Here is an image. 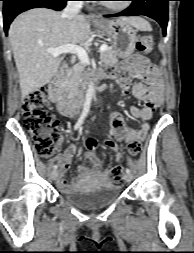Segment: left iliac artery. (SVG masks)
<instances>
[{"mask_svg":"<svg viewBox=\"0 0 194 253\" xmlns=\"http://www.w3.org/2000/svg\"><path fill=\"white\" fill-rule=\"evenodd\" d=\"M126 172H127V173H130L131 171H130V169H129V168H126Z\"/></svg>","mask_w":194,"mask_h":253,"instance_id":"44dca946","label":"left iliac artery"}]
</instances>
